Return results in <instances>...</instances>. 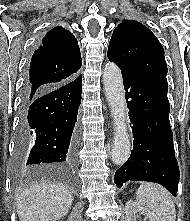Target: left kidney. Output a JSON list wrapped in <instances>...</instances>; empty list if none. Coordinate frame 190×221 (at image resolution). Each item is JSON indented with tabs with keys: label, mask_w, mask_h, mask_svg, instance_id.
<instances>
[{
	"label": "left kidney",
	"mask_w": 190,
	"mask_h": 221,
	"mask_svg": "<svg viewBox=\"0 0 190 221\" xmlns=\"http://www.w3.org/2000/svg\"><path fill=\"white\" fill-rule=\"evenodd\" d=\"M125 212L127 221H136L137 213L144 215L149 221H159V218L153 212L132 200L126 203Z\"/></svg>",
	"instance_id": "obj_1"
}]
</instances>
